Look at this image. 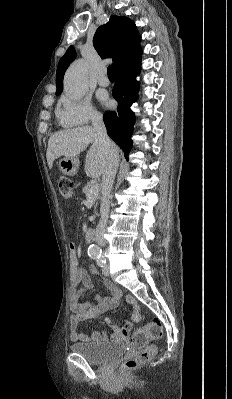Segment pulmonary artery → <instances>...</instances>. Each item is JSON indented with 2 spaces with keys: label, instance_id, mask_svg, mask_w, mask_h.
I'll return each mask as SVG.
<instances>
[{
  "label": "pulmonary artery",
  "instance_id": "pulmonary-artery-1",
  "mask_svg": "<svg viewBox=\"0 0 232 399\" xmlns=\"http://www.w3.org/2000/svg\"><path fill=\"white\" fill-rule=\"evenodd\" d=\"M95 82L98 83L99 88L98 90H106L107 86L110 85L107 77H106V70L105 69H100L99 73L97 74V77L95 79Z\"/></svg>",
  "mask_w": 232,
  "mask_h": 399
}]
</instances>
